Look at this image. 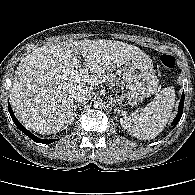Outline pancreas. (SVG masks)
<instances>
[{
	"mask_svg": "<svg viewBox=\"0 0 195 195\" xmlns=\"http://www.w3.org/2000/svg\"><path fill=\"white\" fill-rule=\"evenodd\" d=\"M105 81L112 86L119 85L121 84L120 79L117 78L114 74L108 73L107 75L104 76Z\"/></svg>",
	"mask_w": 195,
	"mask_h": 195,
	"instance_id": "obj_1",
	"label": "pancreas"
}]
</instances>
